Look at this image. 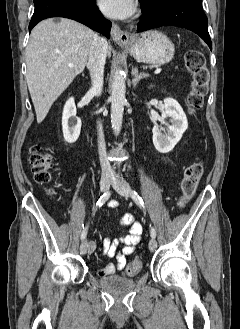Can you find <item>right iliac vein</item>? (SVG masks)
Wrapping results in <instances>:
<instances>
[{
	"label": "right iliac vein",
	"instance_id": "63e3f726",
	"mask_svg": "<svg viewBox=\"0 0 240 329\" xmlns=\"http://www.w3.org/2000/svg\"><path fill=\"white\" fill-rule=\"evenodd\" d=\"M111 184V178L109 176L102 177L100 181V189L102 192H106ZM87 240H83L81 245H80V252L82 254H85L87 252Z\"/></svg>",
	"mask_w": 240,
	"mask_h": 329
}]
</instances>
